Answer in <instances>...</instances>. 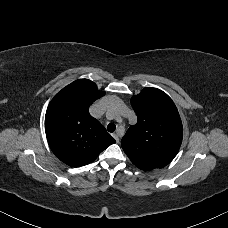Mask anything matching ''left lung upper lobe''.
<instances>
[{
    "label": "left lung upper lobe",
    "mask_w": 228,
    "mask_h": 228,
    "mask_svg": "<svg viewBox=\"0 0 228 228\" xmlns=\"http://www.w3.org/2000/svg\"><path fill=\"white\" fill-rule=\"evenodd\" d=\"M131 105L138 121L122 138V148L142 170L162 168L176 156L183 136L182 122L172 99L157 88H144Z\"/></svg>",
    "instance_id": "obj_1"
}]
</instances>
